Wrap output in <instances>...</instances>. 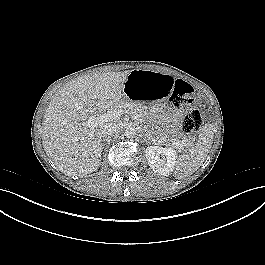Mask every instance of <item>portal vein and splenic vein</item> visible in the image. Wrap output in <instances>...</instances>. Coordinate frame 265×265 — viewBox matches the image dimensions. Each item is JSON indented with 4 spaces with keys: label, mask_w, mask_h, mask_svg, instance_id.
Wrapping results in <instances>:
<instances>
[{
    "label": "portal vein and splenic vein",
    "mask_w": 265,
    "mask_h": 265,
    "mask_svg": "<svg viewBox=\"0 0 265 265\" xmlns=\"http://www.w3.org/2000/svg\"><path fill=\"white\" fill-rule=\"evenodd\" d=\"M123 113L121 109H114L102 115L93 114L86 121L85 125L89 128H95L104 123L119 119Z\"/></svg>",
    "instance_id": "18ae733b"
}]
</instances>
